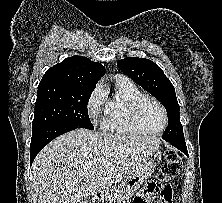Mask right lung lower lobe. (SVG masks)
<instances>
[{
  "label": "right lung lower lobe",
  "mask_w": 222,
  "mask_h": 203,
  "mask_svg": "<svg viewBox=\"0 0 222 203\" xmlns=\"http://www.w3.org/2000/svg\"><path fill=\"white\" fill-rule=\"evenodd\" d=\"M81 128L73 124H53L32 131L30 144V164L41 149L56 137L71 130Z\"/></svg>",
  "instance_id": "1"
}]
</instances>
